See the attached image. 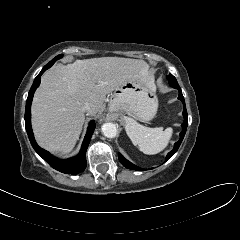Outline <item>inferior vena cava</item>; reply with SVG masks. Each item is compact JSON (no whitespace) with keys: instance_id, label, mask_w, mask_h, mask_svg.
Listing matches in <instances>:
<instances>
[{"instance_id":"inferior-vena-cava-1","label":"inferior vena cava","mask_w":240,"mask_h":240,"mask_svg":"<svg viewBox=\"0 0 240 240\" xmlns=\"http://www.w3.org/2000/svg\"><path fill=\"white\" fill-rule=\"evenodd\" d=\"M82 109H83L84 112H88V111L91 109L90 104H89V103H86V104L83 106Z\"/></svg>"}]
</instances>
